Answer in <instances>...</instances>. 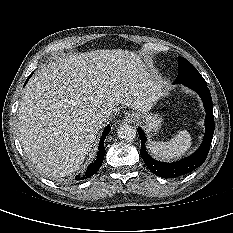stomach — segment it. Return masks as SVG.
<instances>
[{"label": "stomach", "instance_id": "1", "mask_svg": "<svg viewBox=\"0 0 233 233\" xmlns=\"http://www.w3.org/2000/svg\"><path fill=\"white\" fill-rule=\"evenodd\" d=\"M140 119L150 136L156 134L159 131L163 122L162 117L155 113H145L140 116Z\"/></svg>", "mask_w": 233, "mask_h": 233}]
</instances>
